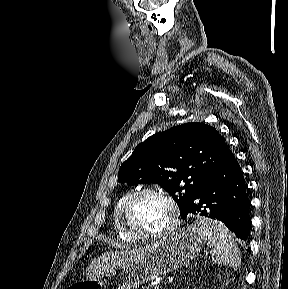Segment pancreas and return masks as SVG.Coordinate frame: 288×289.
<instances>
[{"mask_svg":"<svg viewBox=\"0 0 288 289\" xmlns=\"http://www.w3.org/2000/svg\"><path fill=\"white\" fill-rule=\"evenodd\" d=\"M153 287L152 286H145V287H143V289H152Z\"/></svg>","mask_w":288,"mask_h":289,"instance_id":"cf45deb5","label":"pancreas"}]
</instances>
